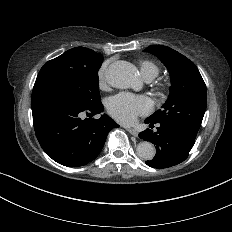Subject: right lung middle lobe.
I'll use <instances>...</instances> for the list:
<instances>
[{"instance_id": "right-lung-middle-lobe-1", "label": "right lung middle lobe", "mask_w": 232, "mask_h": 232, "mask_svg": "<svg viewBox=\"0 0 232 232\" xmlns=\"http://www.w3.org/2000/svg\"><path fill=\"white\" fill-rule=\"evenodd\" d=\"M102 55L91 49L75 47L44 64L39 74L52 76L66 84L86 104L101 102L98 70Z\"/></svg>"}]
</instances>
